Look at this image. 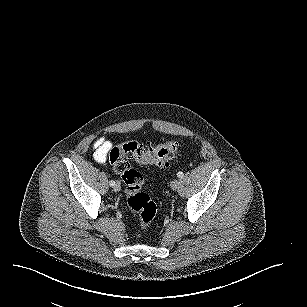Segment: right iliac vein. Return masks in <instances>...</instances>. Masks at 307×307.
Masks as SVG:
<instances>
[{
    "mask_svg": "<svg viewBox=\"0 0 307 307\" xmlns=\"http://www.w3.org/2000/svg\"><path fill=\"white\" fill-rule=\"evenodd\" d=\"M115 192H119L121 190V185L119 182H116V184L113 187Z\"/></svg>",
    "mask_w": 307,
    "mask_h": 307,
    "instance_id": "63e3f726",
    "label": "right iliac vein"
}]
</instances>
